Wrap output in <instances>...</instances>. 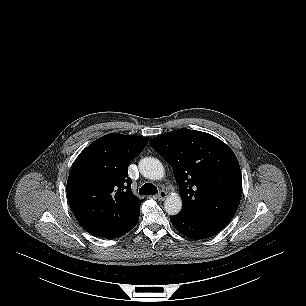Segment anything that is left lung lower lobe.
Wrapping results in <instances>:
<instances>
[{"label":"left lung lower lobe","instance_id":"obj_1","mask_svg":"<svg viewBox=\"0 0 306 306\" xmlns=\"http://www.w3.org/2000/svg\"><path fill=\"white\" fill-rule=\"evenodd\" d=\"M173 226L192 239H204L217 234L227 224L220 221L195 218L184 213L170 217Z\"/></svg>","mask_w":306,"mask_h":306}]
</instances>
